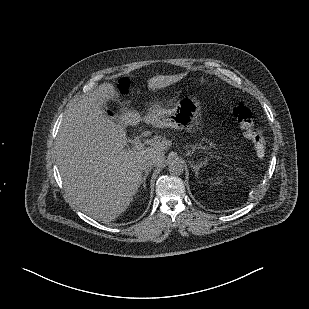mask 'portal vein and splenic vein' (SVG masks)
Returning a JSON list of instances; mask_svg holds the SVG:
<instances>
[{
  "label": "portal vein and splenic vein",
  "mask_w": 309,
  "mask_h": 309,
  "mask_svg": "<svg viewBox=\"0 0 309 309\" xmlns=\"http://www.w3.org/2000/svg\"><path fill=\"white\" fill-rule=\"evenodd\" d=\"M150 144H151V142H150ZM145 145H146L145 143H142L140 141H135L133 148L136 149V150H140V149H144Z\"/></svg>",
  "instance_id": "1"
}]
</instances>
